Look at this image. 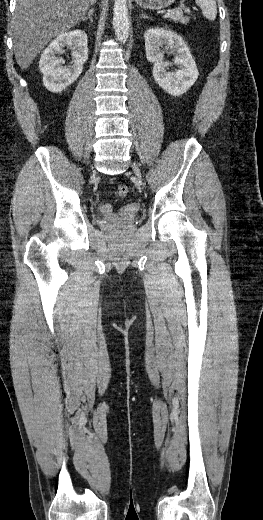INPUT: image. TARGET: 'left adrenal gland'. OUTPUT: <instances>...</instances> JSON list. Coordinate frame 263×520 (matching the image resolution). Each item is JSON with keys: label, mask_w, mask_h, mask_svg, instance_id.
Segmentation results:
<instances>
[{"label": "left adrenal gland", "mask_w": 263, "mask_h": 520, "mask_svg": "<svg viewBox=\"0 0 263 520\" xmlns=\"http://www.w3.org/2000/svg\"><path fill=\"white\" fill-rule=\"evenodd\" d=\"M141 19H151L150 17H148L145 13L142 12L141 14Z\"/></svg>", "instance_id": "1"}]
</instances>
